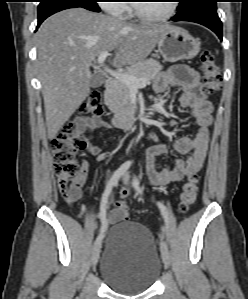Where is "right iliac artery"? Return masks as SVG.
<instances>
[{
	"label": "right iliac artery",
	"instance_id": "1",
	"mask_svg": "<svg viewBox=\"0 0 248 299\" xmlns=\"http://www.w3.org/2000/svg\"><path fill=\"white\" fill-rule=\"evenodd\" d=\"M131 165H132L131 160L124 162L114 172V174L112 175V177L110 178V180L108 181V183L106 185L105 191L101 198V204H100V219L102 222V226H101L100 234L97 237V240H100L104 237V232L107 228L106 209H107L108 197H109L113 187L117 185L119 179L122 177V175H124L127 172V170L130 168Z\"/></svg>",
	"mask_w": 248,
	"mask_h": 299
}]
</instances>
